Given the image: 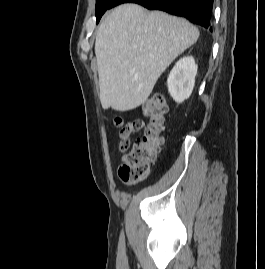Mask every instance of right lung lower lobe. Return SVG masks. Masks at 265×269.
<instances>
[{
  "mask_svg": "<svg viewBox=\"0 0 265 269\" xmlns=\"http://www.w3.org/2000/svg\"><path fill=\"white\" fill-rule=\"evenodd\" d=\"M122 3H137L151 10L182 16L212 31L210 25L213 0H114L109 9Z\"/></svg>",
  "mask_w": 265,
  "mask_h": 269,
  "instance_id": "right-lung-lower-lobe-1",
  "label": "right lung lower lobe"
}]
</instances>
